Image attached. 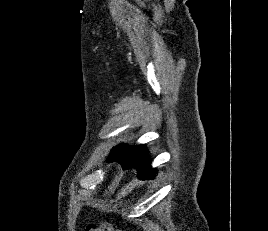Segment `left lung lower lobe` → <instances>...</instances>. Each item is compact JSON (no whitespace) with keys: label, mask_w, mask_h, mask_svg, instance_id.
<instances>
[{"label":"left lung lower lobe","mask_w":268,"mask_h":231,"mask_svg":"<svg viewBox=\"0 0 268 231\" xmlns=\"http://www.w3.org/2000/svg\"><path fill=\"white\" fill-rule=\"evenodd\" d=\"M148 157V151L145 146L140 150L129 147L118 152L113 150L108 162L118 161L123 169L136 168L138 178L145 180L154 178L156 174L155 169L150 168Z\"/></svg>","instance_id":"left-lung-lower-lobe-1"}]
</instances>
